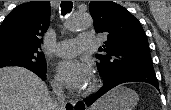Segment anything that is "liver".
I'll list each match as a JSON object with an SVG mask.
<instances>
[{
	"instance_id": "1",
	"label": "liver",
	"mask_w": 171,
	"mask_h": 110,
	"mask_svg": "<svg viewBox=\"0 0 171 110\" xmlns=\"http://www.w3.org/2000/svg\"><path fill=\"white\" fill-rule=\"evenodd\" d=\"M54 100L46 84L22 67L0 69V110H53ZM102 100L91 110H99Z\"/></svg>"
}]
</instances>
